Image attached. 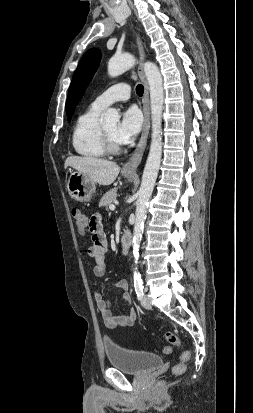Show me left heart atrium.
I'll list each match as a JSON object with an SVG mask.
<instances>
[{
  "mask_svg": "<svg viewBox=\"0 0 253 413\" xmlns=\"http://www.w3.org/2000/svg\"><path fill=\"white\" fill-rule=\"evenodd\" d=\"M142 127V116L137 108L131 107L127 109L117 124L115 130V138L120 144H128L132 142Z\"/></svg>",
  "mask_w": 253,
  "mask_h": 413,
  "instance_id": "left-heart-atrium-1",
  "label": "left heart atrium"
}]
</instances>
